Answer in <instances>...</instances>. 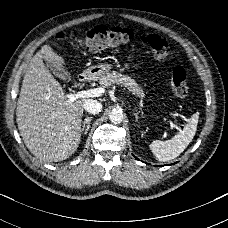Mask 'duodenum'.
<instances>
[{
  "label": "duodenum",
  "mask_w": 228,
  "mask_h": 228,
  "mask_svg": "<svg viewBox=\"0 0 228 228\" xmlns=\"http://www.w3.org/2000/svg\"><path fill=\"white\" fill-rule=\"evenodd\" d=\"M91 76H92V72L91 71H85V72L80 73L78 75V80L80 82H84V81L89 80L91 78Z\"/></svg>",
  "instance_id": "1"
}]
</instances>
